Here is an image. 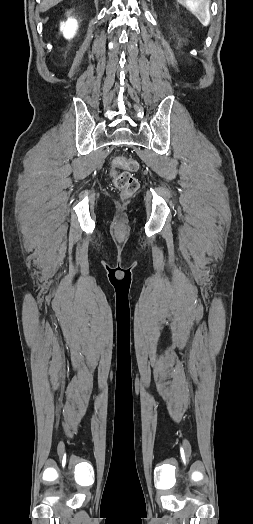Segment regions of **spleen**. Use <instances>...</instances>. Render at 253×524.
<instances>
[{"label":"spleen","mask_w":253,"mask_h":524,"mask_svg":"<svg viewBox=\"0 0 253 524\" xmlns=\"http://www.w3.org/2000/svg\"><path fill=\"white\" fill-rule=\"evenodd\" d=\"M181 5L186 7L204 26L210 23V15L206 8V0H177Z\"/></svg>","instance_id":"obj_1"}]
</instances>
